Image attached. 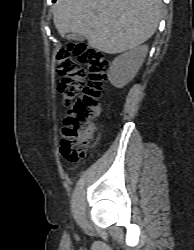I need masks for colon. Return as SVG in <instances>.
<instances>
[{"mask_svg": "<svg viewBox=\"0 0 194 250\" xmlns=\"http://www.w3.org/2000/svg\"><path fill=\"white\" fill-rule=\"evenodd\" d=\"M80 65L86 66V85ZM108 65L103 52L83 43L70 44L57 54L56 71L62 77L57 89L67 108L60 150L67 162L77 163L86 156L91 122L101 109Z\"/></svg>", "mask_w": 194, "mask_h": 250, "instance_id": "obj_1", "label": "colon"}]
</instances>
